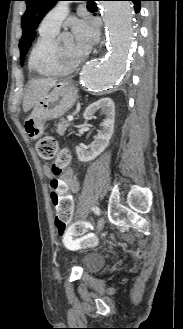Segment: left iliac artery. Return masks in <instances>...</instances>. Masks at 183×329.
Masks as SVG:
<instances>
[{"instance_id":"left-iliac-artery-1","label":"left iliac artery","mask_w":183,"mask_h":329,"mask_svg":"<svg viewBox=\"0 0 183 329\" xmlns=\"http://www.w3.org/2000/svg\"><path fill=\"white\" fill-rule=\"evenodd\" d=\"M92 210L95 214L100 215V209L97 206H94Z\"/></svg>"}]
</instances>
